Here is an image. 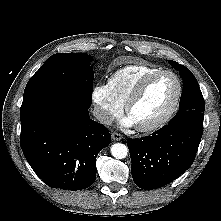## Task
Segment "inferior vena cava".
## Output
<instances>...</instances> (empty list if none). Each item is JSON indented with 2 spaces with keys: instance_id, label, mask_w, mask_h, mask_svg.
I'll use <instances>...</instances> for the list:
<instances>
[{
  "instance_id": "602c4592",
  "label": "inferior vena cava",
  "mask_w": 221,
  "mask_h": 221,
  "mask_svg": "<svg viewBox=\"0 0 221 221\" xmlns=\"http://www.w3.org/2000/svg\"><path fill=\"white\" fill-rule=\"evenodd\" d=\"M92 113H93V116L100 123L105 124V125H110L114 119L106 110L102 109L99 106L94 107Z\"/></svg>"
}]
</instances>
